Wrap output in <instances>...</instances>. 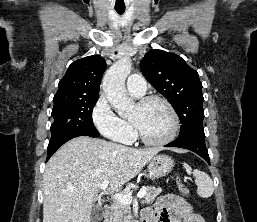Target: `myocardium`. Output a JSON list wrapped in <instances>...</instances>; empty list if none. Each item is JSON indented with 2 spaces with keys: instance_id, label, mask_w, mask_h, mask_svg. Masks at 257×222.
Segmentation results:
<instances>
[{
  "instance_id": "1",
  "label": "myocardium",
  "mask_w": 257,
  "mask_h": 222,
  "mask_svg": "<svg viewBox=\"0 0 257 222\" xmlns=\"http://www.w3.org/2000/svg\"><path fill=\"white\" fill-rule=\"evenodd\" d=\"M153 102H160L162 103L169 111L171 117H172V129L170 131V133L159 140H150L148 138H146L139 130L137 124L135 122H133L132 120L130 121L132 124V127L134 129V133L135 136L144 144L148 145V146H163V145H167L170 142H172L176 136L178 135V132L180 130V118L179 115L176 111V109L174 108V106L171 104V102L169 100H167L166 98L162 97V96H158V95H152V96H147L143 99H141L137 106L139 107H145L150 103Z\"/></svg>"
}]
</instances>
